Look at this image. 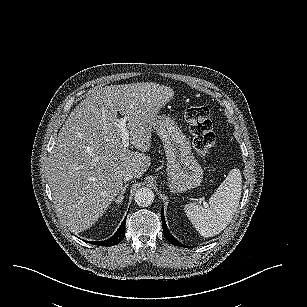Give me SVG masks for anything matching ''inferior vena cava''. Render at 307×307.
Segmentation results:
<instances>
[{"instance_id": "1", "label": "inferior vena cava", "mask_w": 307, "mask_h": 307, "mask_svg": "<svg viewBox=\"0 0 307 307\" xmlns=\"http://www.w3.org/2000/svg\"><path fill=\"white\" fill-rule=\"evenodd\" d=\"M132 178H134V174L132 172H128L123 176L125 182L130 181Z\"/></svg>"}]
</instances>
